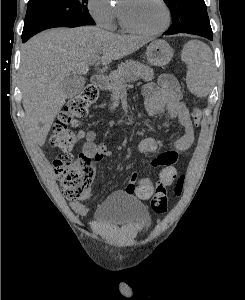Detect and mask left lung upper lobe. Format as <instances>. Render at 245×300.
Masks as SVG:
<instances>
[{
  "label": "left lung upper lobe",
  "mask_w": 245,
  "mask_h": 300,
  "mask_svg": "<svg viewBox=\"0 0 245 300\" xmlns=\"http://www.w3.org/2000/svg\"><path fill=\"white\" fill-rule=\"evenodd\" d=\"M170 9L172 26L166 32H212L204 0H163Z\"/></svg>",
  "instance_id": "left-lung-upper-lobe-1"
}]
</instances>
